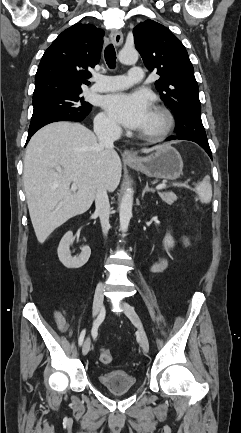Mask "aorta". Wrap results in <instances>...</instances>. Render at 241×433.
I'll list each match as a JSON object with an SVG mask.
<instances>
[{
	"mask_svg": "<svg viewBox=\"0 0 241 433\" xmlns=\"http://www.w3.org/2000/svg\"><path fill=\"white\" fill-rule=\"evenodd\" d=\"M138 52L131 48H123L119 52V61L123 64H135L138 60ZM133 189L126 188L119 207L120 217V230L124 233L127 231L130 219L132 217V206H133Z\"/></svg>",
	"mask_w": 241,
	"mask_h": 433,
	"instance_id": "obj_1",
	"label": "aorta"
}]
</instances>
